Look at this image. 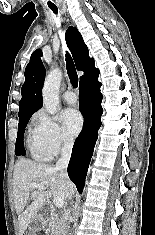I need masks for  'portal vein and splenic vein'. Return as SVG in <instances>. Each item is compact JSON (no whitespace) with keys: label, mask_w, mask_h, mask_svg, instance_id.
<instances>
[{"label":"portal vein and splenic vein","mask_w":155,"mask_h":235,"mask_svg":"<svg viewBox=\"0 0 155 235\" xmlns=\"http://www.w3.org/2000/svg\"><path fill=\"white\" fill-rule=\"evenodd\" d=\"M30 188L46 189V187L43 184H38V183H31ZM53 202L54 205L58 208H61L64 205V200L60 197H54Z\"/></svg>","instance_id":"obj_1"}]
</instances>
